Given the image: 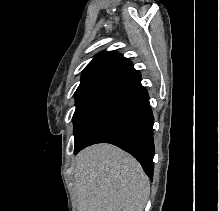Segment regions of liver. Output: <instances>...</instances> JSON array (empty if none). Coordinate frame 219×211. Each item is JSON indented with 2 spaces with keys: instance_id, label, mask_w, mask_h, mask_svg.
Here are the masks:
<instances>
[{
  "instance_id": "1",
  "label": "liver",
  "mask_w": 219,
  "mask_h": 211,
  "mask_svg": "<svg viewBox=\"0 0 219 211\" xmlns=\"http://www.w3.org/2000/svg\"><path fill=\"white\" fill-rule=\"evenodd\" d=\"M78 211H143L150 181L139 161L111 143H95L76 155Z\"/></svg>"
}]
</instances>
